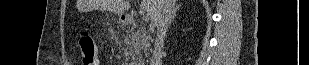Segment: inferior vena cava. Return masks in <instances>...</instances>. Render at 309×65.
I'll use <instances>...</instances> for the list:
<instances>
[{
	"label": "inferior vena cava",
	"instance_id": "1",
	"mask_svg": "<svg viewBox=\"0 0 309 65\" xmlns=\"http://www.w3.org/2000/svg\"><path fill=\"white\" fill-rule=\"evenodd\" d=\"M171 15L172 7L167 4L156 23L157 36L150 65H162L164 40L168 26L171 22Z\"/></svg>",
	"mask_w": 309,
	"mask_h": 65
}]
</instances>
